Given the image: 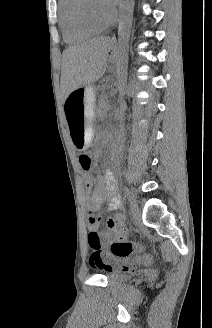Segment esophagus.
Returning <instances> with one entry per match:
<instances>
[{
  "mask_svg": "<svg viewBox=\"0 0 212 328\" xmlns=\"http://www.w3.org/2000/svg\"><path fill=\"white\" fill-rule=\"evenodd\" d=\"M115 39H116V36H115V34H113L112 35V41H115Z\"/></svg>",
  "mask_w": 212,
  "mask_h": 328,
  "instance_id": "obj_1",
  "label": "esophagus"
}]
</instances>
